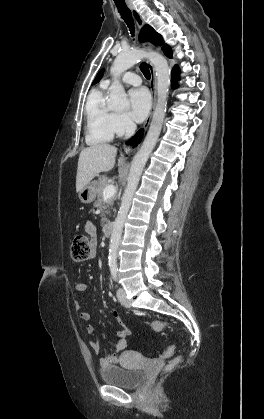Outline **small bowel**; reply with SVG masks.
Instances as JSON below:
<instances>
[{"label": "small bowel", "mask_w": 264, "mask_h": 419, "mask_svg": "<svg viewBox=\"0 0 264 419\" xmlns=\"http://www.w3.org/2000/svg\"><path fill=\"white\" fill-rule=\"evenodd\" d=\"M85 230L90 239L91 245V255L90 258H93L96 253L97 248V229L92 222H87ZM75 289L77 292H85L89 289V285L85 282H79L76 284ZM76 310L79 312V316L83 321L89 322L91 319V314L82 308V305L79 301L75 303ZM86 330L89 334H95V328L92 324L88 323L86 325ZM130 334L129 328L122 324L121 328L115 333V347L114 352L109 355H102V347L99 342L91 341L90 345L94 352L100 356V364L102 367H108L116 365L120 362L119 353H121L127 345L126 337Z\"/></svg>", "instance_id": "obj_1"}]
</instances>
